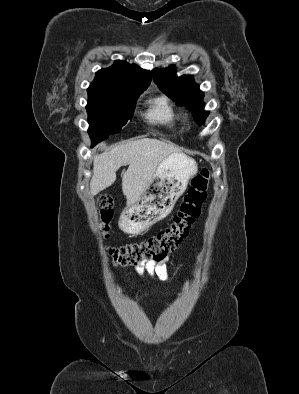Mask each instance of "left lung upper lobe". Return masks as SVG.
<instances>
[{
  "label": "left lung upper lobe",
  "instance_id": "left-lung-upper-lobe-1",
  "mask_svg": "<svg viewBox=\"0 0 299 394\" xmlns=\"http://www.w3.org/2000/svg\"><path fill=\"white\" fill-rule=\"evenodd\" d=\"M154 82L168 97L179 106H185L194 115L198 125L204 123L209 112L204 111L203 92L195 84L193 76H175V67L168 69H154L152 71Z\"/></svg>",
  "mask_w": 299,
  "mask_h": 394
}]
</instances>
